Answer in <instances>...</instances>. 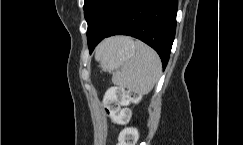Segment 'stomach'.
I'll list each match as a JSON object with an SVG mask.
<instances>
[{
    "mask_svg": "<svg viewBox=\"0 0 243 145\" xmlns=\"http://www.w3.org/2000/svg\"><path fill=\"white\" fill-rule=\"evenodd\" d=\"M135 54L134 42L128 37H113L104 41L96 52V59L105 70L120 67Z\"/></svg>",
    "mask_w": 243,
    "mask_h": 145,
    "instance_id": "0dacf381",
    "label": "stomach"
}]
</instances>
